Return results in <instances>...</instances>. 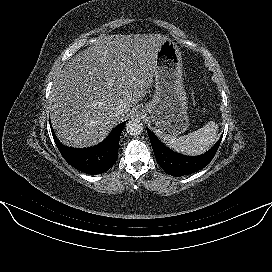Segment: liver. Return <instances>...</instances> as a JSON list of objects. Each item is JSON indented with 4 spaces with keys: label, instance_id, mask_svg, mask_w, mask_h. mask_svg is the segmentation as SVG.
<instances>
[{
    "label": "liver",
    "instance_id": "obj_1",
    "mask_svg": "<svg viewBox=\"0 0 272 272\" xmlns=\"http://www.w3.org/2000/svg\"><path fill=\"white\" fill-rule=\"evenodd\" d=\"M167 39L161 34L100 36L73 56L49 100L52 125L62 143L90 147L102 142L149 92L157 53ZM119 103L128 112L117 114Z\"/></svg>",
    "mask_w": 272,
    "mask_h": 272
}]
</instances>
